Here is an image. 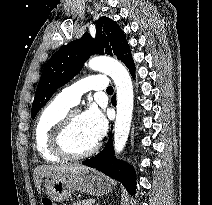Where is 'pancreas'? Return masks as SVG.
Instances as JSON below:
<instances>
[{"label": "pancreas", "instance_id": "pancreas-1", "mask_svg": "<svg viewBox=\"0 0 212 205\" xmlns=\"http://www.w3.org/2000/svg\"><path fill=\"white\" fill-rule=\"evenodd\" d=\"M93 200L92 199H87V200H82L77 203H74L73 205H92Z\"/></svg>", "mask_w": 212, "mask_h": 205}]
</instances>
